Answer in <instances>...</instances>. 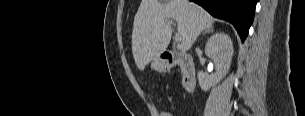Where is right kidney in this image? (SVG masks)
<instances>
[{"instance_id":"obj_1","label":"right kidney","mask_w":305,"mask_h":116,"mask_svg":"<svg viewBox=\"0 0 305 116\" xmlns=\"http://www.w3.org/2000/svg\"><path fill=\"white\" fill-rule=\"evenodd\" d=\"M233 52V43L228 34L220 32L209 38L205 46V54L213 60L216 73L208 75L203 71L198 72V82L203 91H208L226 76L230 69Z\"/></svg>"}]
</instances>
